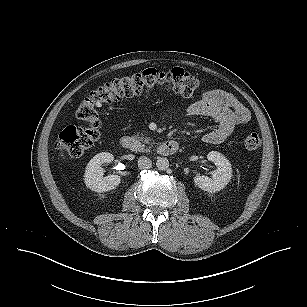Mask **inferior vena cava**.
Wrapping results in <instances>:
<instances>
[{
	"mask_svg": "<svg viewBox=\"0 0 307 307\" xmlns=\"http://www.w3.org/2000/svg\"><path fill=\"white\" fill-rule=\"evenodd\" d=\"M138 167L139 169H150L152 167V161L146 156H141L138 159Z\"/></svg>",
	"mask_w": 307,
	"mask_h": 307,
	"instance_id": "602c4592",
	"label": "inferior vena cava"
}]
</instances>
